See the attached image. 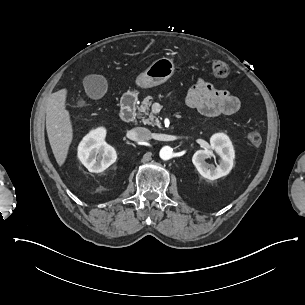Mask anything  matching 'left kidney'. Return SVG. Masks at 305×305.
Segmentation results:
<instances>
[{
  "instance_id": "1",
  "label": "left kidney",
  "mask_w": 305,
  "mask_h": 305,
  "mask_svg": "<svg viewBox=\"0 0 305 305\" xmlns=\"http://www.w3.org/2000/svg\"><path fill=\"white\" fill-rule=\"evenodd\" d=\"M211 148L221 157L220 164L216 167L205 162L212 155L210 150H198L192 157V162L198 172L207 179L215 180L231 171L235 152L229 137L224 133H216L210 138Z\"/></svg>"
}]
</instances>
